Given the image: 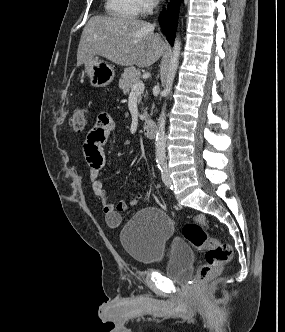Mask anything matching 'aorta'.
I'll return each instance as SVG.
<instances>
[{
	"instance_id": "aorta-1",
	"label": "aorta",
	"mask_w": 285,
	"mask_h": 332,
	"mask_svg": "<svg viewBox=\"0 0 285 332\" xmlns=\"http://www.w3.org/2000/svg\"><path fill=\"white\" fill-rule=\"evenodd\" d=\"M181 54V41L179 37L175 38L173 51L170 57L168 73L166 75V83L165 88L163 90V94L165 97H168L171 93L173 81L176 75V71L179 65V58ZM165 109L166 104H164L161 114L158 119V125L156 130V139H155V150H156V158L164 159L166 153V135H165Z\"/></svg>"
}]
</instances>
